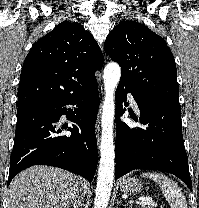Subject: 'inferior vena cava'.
Segmentation results:
<instances>
[{
  "label": "inferior vena cava",
  "instance_id": "inferior-vena-cava-1",
  "mask_svg": "<svg viewBox=\"0 0 199 208\" xmlns=\"http://www.w3.org/2000/svg\"><path fill=\"white\" fill-rule=\"evenodd\" d=\"M73 203H74V207L77 206L76 204H81L82 201V195H81V191L78 192L74 197H73Z\"/></svg>",
  "mask_w": 199,
  "mask_h": 208
}]
</instances>
